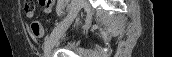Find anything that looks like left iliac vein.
Returning a JSON list of instances; mask_svg holds the SVG:
<instances>
[{
  "label": "left iliac vein",
  "instance_id": "obj_1",
  "mask_svg": "<svg viewBox=\"0 0 172 57\" xmlns=\"http://www.w3.org/2000/svg\"><path fill=\"white\" fill-rule=\"evenodd\" d=\"M82 0H72L69 5L68 14L64 18V20L54 28L52 33L47 37L44 45V54L45 56H49L51 50L59 40V38L64 34V32L68 29V27L73 22L74 18L79 13L82 5Z\"/></svg>",
  "mask_w": 172,
  "mask_h": 57
}]
</instances>
